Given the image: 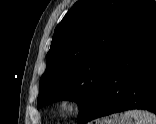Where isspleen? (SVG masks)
Instances as JSON below:
<instances>
[{"instance_id":"obj_1","label":"spleen","mask_w":156,"mask_h":124,"mask_svg":"<svg viewBox=\"0 0 156 124\" xmlns=\"http://www.w3.org/2000/svg\"><path fill=\"white\" fill-rule=\"evenodd\" d=\"M126 117H132L135 124H156V115L143 110H129L125 112Z\"/></svg>"}]
</instances>
